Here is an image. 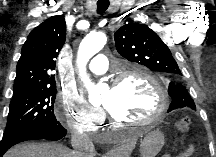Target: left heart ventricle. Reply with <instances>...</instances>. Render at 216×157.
<instances>
[{"instance_id": "left-heart-ventricle-1", "label": "left heart ventricle", "mask_w": 216, "mask_h": 157, "mask_svg": "<svg viewBox=\"0 0 216 157\" xmlns=\"http://www.w3.org/2000/svg\"><path fill=\"white\" fill-rule=\"evenodd\" d=\"M103 105L121 120L139 121L149 118L158 106L154 89L144 79L129 77L116 88H109Z\"/></svg>"}]
</instances>
